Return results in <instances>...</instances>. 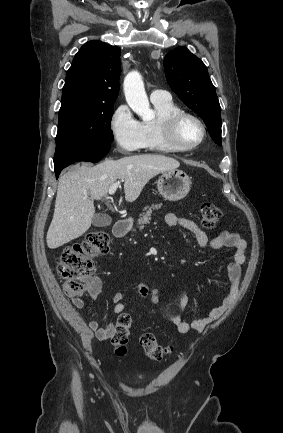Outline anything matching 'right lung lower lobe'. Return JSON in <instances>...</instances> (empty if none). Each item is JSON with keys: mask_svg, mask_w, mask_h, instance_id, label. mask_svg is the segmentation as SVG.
Instances as JSON below:
<instances>
[{"mask_svg": "<svg viewBox=\"0 0 283 433\" xmlns=\"http://www.w3.org/2000/svg\"><path fill=\"white\" fill-rule=\"evenodd\" d=\"M109 150L110 146L95 148L77 144L56 145V152L54 155L56 178H58L61 170L70 164L78 161L96 163L103 158Z\"/></svg>", "mask_w": 283, "mask_h": 433, "instance_id": "1", "label": "right lung lower lobe"}]
</instances>
